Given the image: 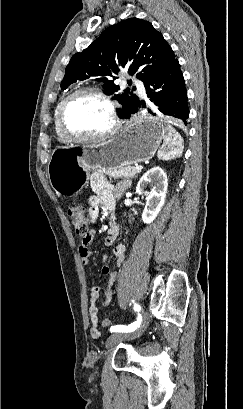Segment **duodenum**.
Wrapping results in <instances>:
<instances>
[{
	"mask_svg": "<svg viewBox=\"0 0 243 409\" xmlns=\"http://www.w3.org/2000/svg\"><path fill=\"white\" fill-rule=\"evenodd\" d=\"M109 225H110V229L114 228V226H115V219H114V217H111Z\"/></svg>",
	"mask_w": 243,
	"mask_h": 409,
	"instance_id": "obj_1",
	"label": "duodenum"
}]
</instances>
